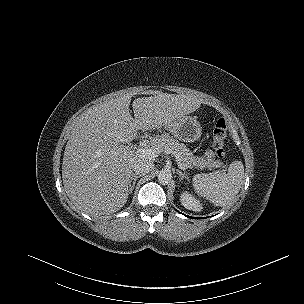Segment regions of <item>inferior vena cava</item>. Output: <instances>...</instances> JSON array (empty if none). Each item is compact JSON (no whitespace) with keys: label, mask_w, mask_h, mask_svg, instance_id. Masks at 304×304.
<instances>
[{"label":"inferior vena cava","mask_w":304,"mask_h":304,"mask_svg":"<svg viewBox=\"0 0 304 304\" xmlns=\"http://www.w3.org/2000/svg\"><path fill=\"white\" fill-rule=\"evenodd\" d=\"M154 169V163L146 158H138L133 164L135 174H147Z\"/></svg>","instance_id":"obj_1"}]
</instances>
